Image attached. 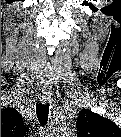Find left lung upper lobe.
Here are the masks:
<instances>
[{
	"label": "left lung upper lobe",
	"mask_w": 121,
	"mask_h": 137,
	"mask_svg": "<svg viewBox=\"0 0 121 137\" xmlns=\"http://www.w3.org/2000/svg\"><path fill=\"white\" fill-rule=\"evenodd\" d=\"M76 127L79 134L85 137H121V131L115 123L110 119L86 109L79 112Z\"/></svg>",
	"instance_id": "obj_1"
}]
</instances>
